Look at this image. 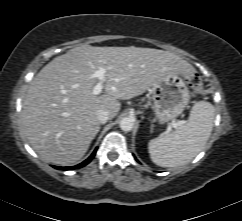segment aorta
Listing matches in <instances>:
<instances>
[{
  "label": "aorta",
  "instance_id": "obj_1",
  "mask_svg": "<svg viewBox=\"0 0 242 221\" xmlns=\"http://www.w3.org/2000/svg\"><path fill=\"white\" fill-rule=\"evenodd\" d=\"M119 126L123 131H131L134 127V120L130 117H124L120 120Z\"/></svg>",
  "mask_w": 242,
  "mask_h": 221
}]
</instances>
